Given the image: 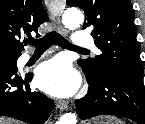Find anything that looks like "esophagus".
Wrapping results in <instances>:
<instances>
[{
  "label": "esophagus",
  "instance_id": "esophagus-1",
  "mask_svg": "<svg viewBox=\"0 0 145 124\" xmlns=\"http://www.w3.org/2000/svg\"><path fill=\"white\" fill-rule=\"evenodd\" d=\"M48 8H49V11L51 14V19H52L55 27L57 28L58 32L63 35H66L67 31L61 24V15H62V12L64 9L63 2L62 1H51L50 4L48 5ZM57 106L61 110H65L68 108V102L60 101L57 104Z\"/></svg>",
  "mask_w": 145,
  "mask_h": 124
}]
</instances>
